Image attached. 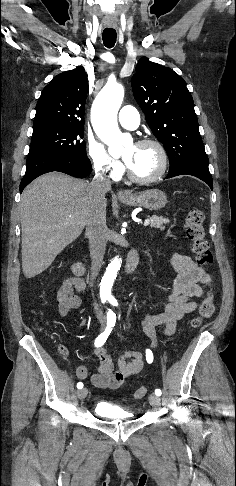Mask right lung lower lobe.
<instances>
[{
  "label": "right lung lower lobe",
  "instance_id": "obj_1",
  "mask_svg": "<svg viewBox=\"0 0 236 486\" xmlns=\"http://www.w3.org/2000/svg\"><path fill=\"white\" fill-rule=\"evenodd\" d=\"M52 171H59L74 177L85 178L91 173L92 166L87 157L52 154L28 156L26 172L20 184V193L36 177Z\"/></svg>",
  "mask_w": 236,
  "mask_h": 486
}]
</instances>
